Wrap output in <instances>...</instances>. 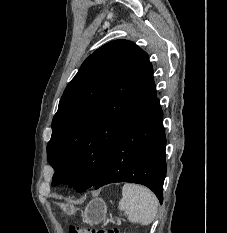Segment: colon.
<instances>
[{
  "label": "colon",
  "instance_id": "obj_1",
  "mask_svg": "<svg viewBox=\"0 0 227 233\" xmlns=\"http://www.w3.org/2000/svg\"><path fill=\"white\" fill-rule=\"evenodd\" d=\"M69 233H120L117 229H96L71 227Z\"/></svg>",
  "mask_w": 227,
  "mask_h": 233
}]
</instances>
